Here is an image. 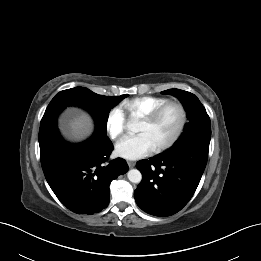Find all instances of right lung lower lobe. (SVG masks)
I'll return each mask as SVG.
<instances>
[{
	"label": "right lung lower lobe",
	"instance_id": "obj_1",
	"mask_svg": "<svg viewBox=\"0 0 261 261\" xmlns=\"http://www.w3.org/2000/svg\"><path fill=\"white\" fill-rule=\"evenodd\" d=\"M41 165L46 180L61 203L77 214L98 213L109 203V185L128 171L122 158L105 163L113 144L99 131L80 144L60 136L56 121L40 125Z\"/></svg>",
	"mask_w": 261,
	"mask_h": 261
}]
</instances>
